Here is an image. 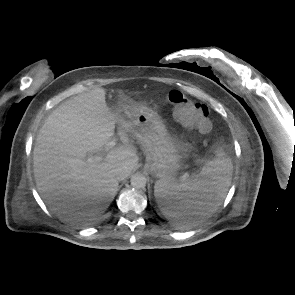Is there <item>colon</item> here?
<instances>
[{
	"label": "colon",
	"mask_w": 295,
	"mask_h": 295,
	"mask_svg": "<svg viewBox=\"0 0 295 295\" xmlns=\"http://www.w3.org/2000/svg\"><path fill=\"white\" fill-rule=\"evenodd\" d=\"M166 98L173 107L175 117L185 126L196 128L202 133L211 130L209 110L205 105L196 103L177 90L170 91Z\"/></svg>",
	"instance_id": "1"
}]
</instances>
